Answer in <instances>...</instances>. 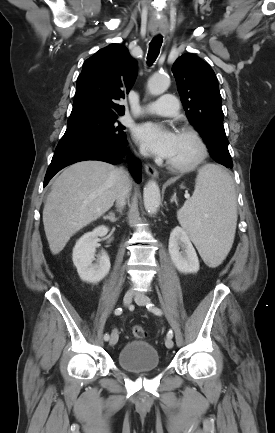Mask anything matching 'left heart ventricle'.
Here are the masks:
<instances>
[{
    "label": "left heart ventricle",
    "mask_w": 275,
    "mask_h": 433,
    "mask_svg": "<svg viewBox=\"0 0 275 433\" xmlns=\"http://www.w3.org/2000/svg\"><path fill=\"white\" fill-rule=\"evenodd\" d=\"M198 153L196 141L188 135L178 133L173 151L167 159L175 164L186 165L194 161Z\"/></svg>",
    "instance_id": "left-heart-ventricle-1"
}]
</instances>
